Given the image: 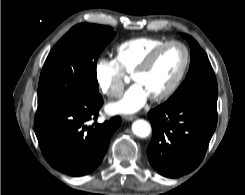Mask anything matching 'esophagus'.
<instances>
[{
	"label": "esophagus",
	"instance_id": "esophagus-1",
	"mask_svg": "<svg viewBox=\"0 0 245 195\" xmlns=\"http://www.w3.org/2000/svg\"><path fill=\"white\" fill-rule=\"evenodd\" d=\"M124 119L126 121H132V120L136 119V116H134V115H127V116L124 117Z\"/></svg>",
	"mask_w": 245,
	"mask_h": 195
}]
</instances>
